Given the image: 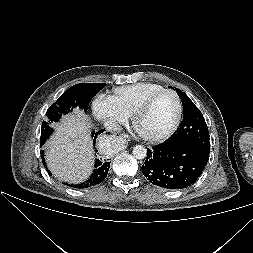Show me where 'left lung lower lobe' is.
Instances as JSON below:
<instances>
[{
	"label": "left lung lower lobe",
	"mask_w": 253,
	"mask_h": 253,
	"mask_svg": "<svg viewBox=\"0 0 253 253\" xmlns=\"http://www.w3.org/2000/svg\"><path fill=\"white\" fill-rule=\"evenodd\" d=\"M209 152L193 145L165 142L147 149L142 173L152 184L166 189H183L201 175Z\"/></svg>",
	"instance_id": "0a47b994"
}]
</instances>
